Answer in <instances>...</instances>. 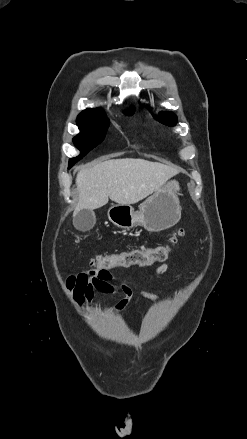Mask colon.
I'll use <instances>...</instances> for the list:
<instances>
[{
    "mask_svg": "<svg viewBox=\"0 0 247 439\" xmlns=\"http://www.w3.org/2000/svg\"><path fill=\"white\" fill-rule=\"evenodd\" d=\"M183 235L179 229L172 239V244ZM171 252L170 245L127 250L116 254H100L93 261L94 270L102 271L117 267L148 266L156 262L165 261Z\"/></svg>",
    "mask_w": 247,
    "mask_h": 439,
    "instance_id": "5ec220e1",
    "label": "colon"
}]
</instances>
